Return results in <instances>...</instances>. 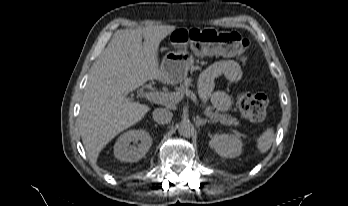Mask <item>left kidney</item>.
Segmentation results:
<instances>
[{"label": "left kidney", "mask_w": 348, "mask_h": 206, "mask_svg": "<svg viewBox=\"0 0 348 206\" xmlns=\"http://www.w3.org/2000/svg\"><path fill=\"white\" fill-rule=\"evenodd\" d=\"M209 145L218 155L225 158H234L241 154L243 142L240 134H216Z\"/></svg>", "instance_id": "obj_1"}]
</instances>
